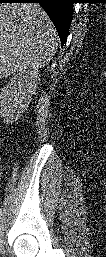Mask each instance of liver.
Segmentation results:
<instances>
[{"label": "liver", "instance_id": "liver-1", "mask_svg": "<svg viewBox=\"0 0 106 257\" xmlns=\"http://www.w3.org/2000/svg\"><path fill=\"white\" fill-rule=\"evenodd\" d=\"M56 32L37 4L0 6V74L43 67L54 54Z\"/></svg>", "mask_w": 106, "mask_h": 257}]
</instances>
